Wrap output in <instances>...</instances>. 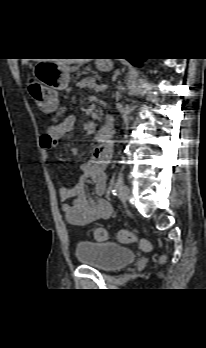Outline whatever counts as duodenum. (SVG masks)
Masks as SVG:
<instances>
[{"label": "duodenum", "instance_id": "duodenum-1", "mask_svg": "<svg viewBox=\"0 0 206 348\" xmlns=\"http://www.w3.org/2000/svg\"><path fill=\"white\" fill-rule=\"evenodd\" d=\"M114 133V126L112 124H106L96 132L94 139L98 142L99 146L111 149L109 142L111 141Z\"/></svg>", "mask_w": 206, "mask_h": 348}]
</instances>
